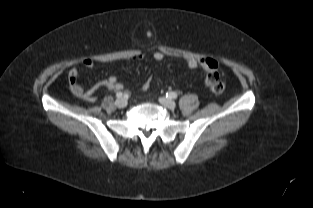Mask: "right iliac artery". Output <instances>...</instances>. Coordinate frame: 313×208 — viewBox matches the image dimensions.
<instances>
[{
	"mask_svg": "<svg viewBox=\"0 0 313 208\" xmlns=\"http://www.w3.org/2000/svg\"><path fill=\"white\" fill-rule=\"evenodd\" d=\"M116 97L117 98H122L123 97V93L122 92H117L116 93Z\"/></svg>",
	"mask_w": 313,
	"mask_h": 208,
	"instance_id": "right-iliac-artery-1",
	"label": "right iliac artery"
}]
</instances>
